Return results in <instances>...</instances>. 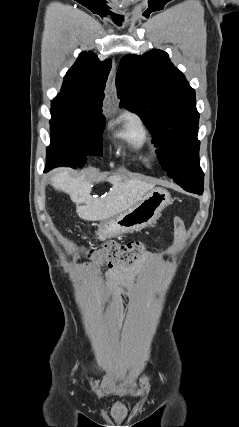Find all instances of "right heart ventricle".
Listing matches in <instances>:
<instances>
[{
	"label": "right heart ventricle",
	"instance_id": "obj_1",
	"mask_svg": "<svg viewBox=\"0 0 239 427\" xmlns=\"http://www.w3.org/2000/svg\"><path fill=\"white\" fill-rule=\"evenodd\" d=\"M117 136L135 152L153 151L151 134L140 117L134 113L123 116Z\"/></svg>",
	"mask_w": 239,
	"mask_h": 427
}]
</instances>
